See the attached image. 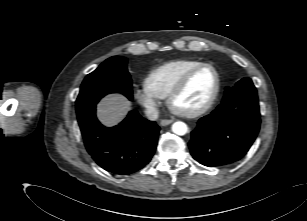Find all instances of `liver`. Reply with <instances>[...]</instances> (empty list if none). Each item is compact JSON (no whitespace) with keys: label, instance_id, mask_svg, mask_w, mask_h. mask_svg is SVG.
Segmentation results:
<instances>
[{"label":"liver","instance_id":"6515ba94","mask_svg":"<svg viewBox=\"0 0 307 221\" xmlns=\"http://www.w3.org/2000/svg\"><path fill=\"white\" fill-rule=\"evenodd\" d=\"M131 109V102L120 94L106 96L97 107V116L101 123L112 127L122 121Z\"/></svg>","mask_w":307,"mask_h":221}]
</instances>
